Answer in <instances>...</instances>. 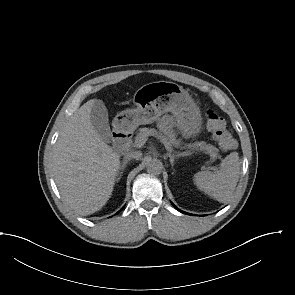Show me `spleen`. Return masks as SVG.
Returning a JSON list of instances; mask_svg holds the SVG:
<instances>
[{
	"label": "spleen",
	"mask_w": 295,
	"mask_h": 295,
	"mask_svg": "<svg viewBox=\"0 0 295 295\" xmlns=\"http://www.w3.org/2000/svg\"><path fill=\"white\" fill-rule=\"evenodd\" d=\"M239 173V156L237 152H232L222 160L218 171H200L194 175L193 181L199 190L225 203L233 195Z\"/></svg>",
	"instance_id": "1"
}]
</instances>
